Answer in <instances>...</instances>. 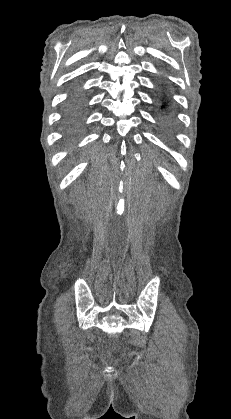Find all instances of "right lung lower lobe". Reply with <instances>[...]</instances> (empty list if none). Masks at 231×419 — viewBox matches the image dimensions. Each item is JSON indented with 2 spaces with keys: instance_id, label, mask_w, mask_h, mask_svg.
<instances>
[{
  "instance_id": "right-lung-lower-lobe-1",
  "label": "right lung lower lobe",
  "mask_w": 231,
  "mask_h": 419,
  "mask_svg": "<svg viewBox=\"0 0 231 419\" xmlns=\"http://www.w3.org/2000/svg\"><path fill=\"white\" fill-rule=\"evenodd\" d=\"M84 112V96L80 92H73L67 101L64 111V120L70 137L79 133Z\"/></svg>"
}]
</instances>
